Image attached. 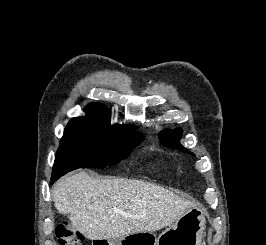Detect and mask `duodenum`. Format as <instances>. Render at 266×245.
Listing matches in <instances>:
<instances>
[{
	"instance_id": "410a0bca",
	"label": "duodenum",
	"mask_w": 266,
	"mask_h": 245,
	"mask_svg": "<svg viewBox=\"0 0 266 245\" xmlns=\"http://www.w3.org/2000/svg\"><path fill=\"white\" fill-rule=\"evenodd\" d=\"M94 245H109L110 237H93Z\"/></svg>"
}]
</instances>
